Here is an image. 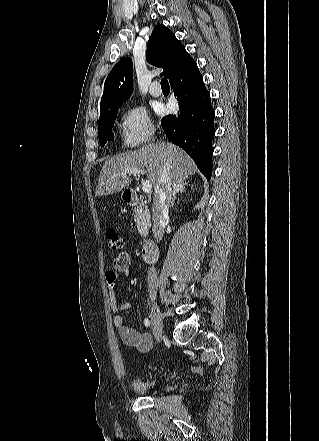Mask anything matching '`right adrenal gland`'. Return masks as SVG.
<instances>
[{
  "instance_id": "obj_1",
  "label": "right adrenal gland",
  "mask_w": 319,
  "mask_h": 441,
  "mask_svg": "<svg viewBox=\"0 0 319 441\" xmlns=\"http://www.w3.org/2000/svg\"><path fill=\"white\" fill-rule=\"evenodd\" d=\"M187 187H188V182H182V183L175 186L174 192H173V198L170 201V208L174 206L177 194L186 192Z\"/></svg>"
}]
</instances>
